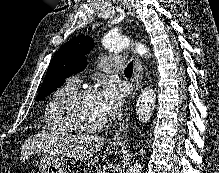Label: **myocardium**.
<instances>
[{
    "instance_id": "f54148a6",
    "label": "myocardium",
    "mask_w": 219,
    "mask_h": 173,
    "mask_svg": "<svg viewBox=\"0 0 219 173\" xmlns=\"http://www.w3.org/2000/svg\"><path fill=\"white\" fill-rule=\"evenodd\" d=\"M95 93L91 87H82L77 89L72 95L68 97L64 104L63 112L67 123L76 131L80 133H94L101 131L108 124L106 118L101 123L90 125L84 123L78 116L77 107L79 103L87 96Z\"/></svg>"
}]
</instances>
